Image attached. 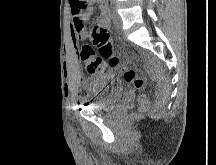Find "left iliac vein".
<instances>
[{
  "instance_id": "obj_1",
  "label": "left iliac vein",
  "mask_w": 216,
  "mask_h": 165,
  "mask_svg": "<svg viewBox=\"0 0 216 165\" xmlns=\"http://www.w3.org/2000/svg\"><path fill=\"white\" fill-rule=\"evenodd\" d=\"M113 22L117 28L122 27V19L115 9L113 11Z\"/></svg>"
}]
</instances>
